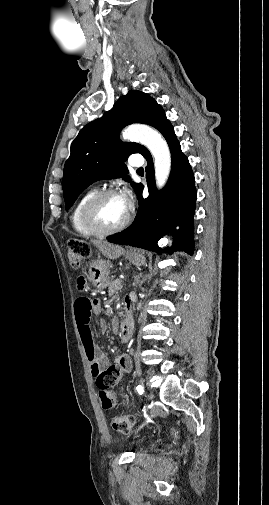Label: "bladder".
Listing matches in <instances>:
<instances>
[{
    "instance_id": "1",
    "label": "bladder",
    "mask_w": 269,
    "mask_h": 505,
    "mask_svg": "<svg viewBox=\"0 0 269 505\" xmlns=\"http://www.w3.org/2000/svg\"><path fill=\"white\" fill-rule=\"evenodd\" d=\"M141 443H142V442H141V441H139V442H136L135 444H141Z\"/></svg>"
}]
</instances>
